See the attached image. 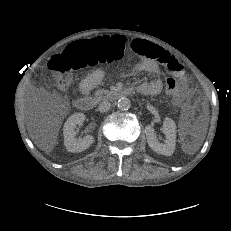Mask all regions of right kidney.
Segmentation results:
<instances>
[{
    "label": "right kidney",
    "mask_w": 231,
    "mask_h": 231,
    "mask_svg": "<svg viewBox=\"0 0 231 231\" xmlns=\"http://www.w3.org/2000/svg\"><path fill=\"white\" fill-rule=\"evenodd\" d=\"M85 120L83 113L72 114L64 124L63 135L64 145L69 152L78 153L88 149L94 142L92 135H86L83 139H77L75 137V127L81 125Z\"/></svg>",
    "instance_id": "1"
}]
</instances>
